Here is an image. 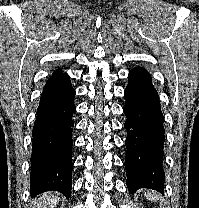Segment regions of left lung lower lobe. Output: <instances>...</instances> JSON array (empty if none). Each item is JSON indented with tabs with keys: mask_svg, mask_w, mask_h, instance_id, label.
Instances as JSON below:
<instances>
[{
	"mask_svg": "<svg viewBox=\"0 0 199 208\" xmlns=\"http://www.w3.org/2000/svg\"><path fill=\"white\" fill-rule=\"evenodd\" d=\"M128 82L124 105L127 187L131 193L142 187L162 192L165 130L158 93L144 68L131 70Z\"/></svg>",
	"mask_w": 199,
	"mask_h": 208,
	"instance_id": "left-lung-lower-lobe-1",
	"label": "left lung lower lobe"
}]
</instances>
